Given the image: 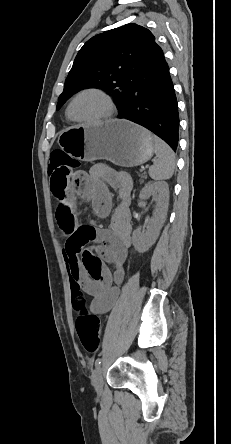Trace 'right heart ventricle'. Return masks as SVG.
Returning <instances> with one entry per match:
<instances>
[{
    "mask_svg": "<svg viewBox=\"0 0 231 444\" xmlns=\"http://www.w3.org/2000/svg\"><path fill=\"white\" fill-rule=\"evenodd\" d=\"M67 116H68V118H70V117H69V114H68V110H67Z\"/></svg>",
    "mask_w": 231,
    "mask_h": 444,
    "instance_id": "1",
    "label": "right heart ventricle"
}]
</instances>
